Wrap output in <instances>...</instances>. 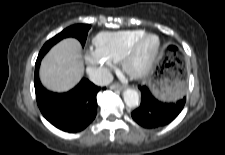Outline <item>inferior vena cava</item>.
Wrapping results in <instances>:
<instances>
[{
  "label": "inferior vena cava",
  "instance_id": "1",
  "mask_svg": "<svg viewBox=\"0 0 225 155\" xmlns=\"http://www.w3.org/2000/svg\"><path fill=\"white\" fill-rule=\"evenodd\" d=\"M91 81L98 86H107L113 81V75L108 70H97L92 75Z\"/></svg>",
  "mask_w": 225,
  "mask_h": 155
}]
</instances>
